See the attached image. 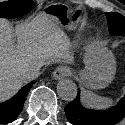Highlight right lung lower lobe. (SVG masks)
<instances>
[{
    "label": "right lung lower lobe",
    "instance_id": "right-lung-lower-lobe-1",
    "mask_svg": "<svg viewBox=\"0 0 125 125\" xmlns=\"http://www.w3.org/2000/svg\"><path fill=\"white\" fill-rule=\"evenodd\" d=\"M34 83L35 81L28 83L14 97L0 104V124L10 123L17 118L23 110L27 93Z\"/></svg>",
    "mask_w": 125,
    "mask_h": 125
}]
</instances>
